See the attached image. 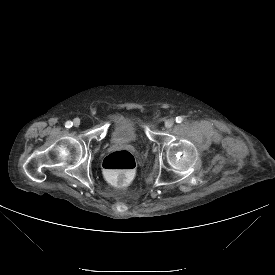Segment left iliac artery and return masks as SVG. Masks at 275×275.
Returning a JSON list of instances; mask_svg holds the SVG:
<instances>
[{
  "label": "left iliac artery",
  "instance_id": "44dca946",
  "mask_svg": "<svg viewBox=\"0 0 275 275\" xmlns=\"http://www.w3.org/2000/svg\"><path fill=\"white\" fill-rule=\"evenodd\" d=\"M176 123H181L183 121V118L181 116L176 117L175 119Z\"/></svg>",
  "mask_w": 275,
  "mask_h": 275
}]
</instances>
